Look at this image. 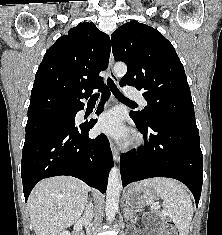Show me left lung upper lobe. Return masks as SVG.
<instances>
[{"label": "left lung upper lobe", "mask_w": 222, "mask_h": 235, "mask_svg": "<svg viewBox=\"0 0 222 235\" xmlns=\"http://www.w3.org/2000/svg\"><path fill=\"white\" fill-rule=\"evenodd\" d=\"M116 61L127 64L120 85L135 86L148 105L132 112L143 123L171 119L196 125L184 67L172 44L156 29L130 21L111 36Z\"/></svg>", "instance_id": "left-lung-upper-lobe-1"}]
</instances>
